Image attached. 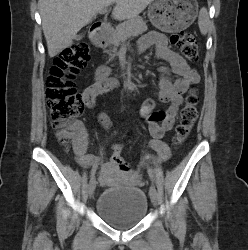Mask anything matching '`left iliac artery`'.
<instances>
[{"label":"left iliac artery","mask_w":248,"mask_h":250,"mask_svg":"<svg viewBox=\"0 0 248 250\" xmlns=\"http://www.w3.org/2000/svg\"><path fill=\"white\" fill-rule=\"evenodd\" d=\"M149 175H150V178H151L152 182H154L155 179H154V176H153L151 170H149Z\"/></svg>","instance_id":"obj_1"}]
</instances>
